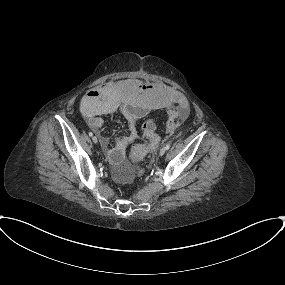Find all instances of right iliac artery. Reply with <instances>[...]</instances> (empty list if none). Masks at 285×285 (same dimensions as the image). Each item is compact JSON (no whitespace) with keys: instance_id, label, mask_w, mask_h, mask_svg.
Wrapping results in <instances>:
<instances>
[{"instance_id":"1","label":"right iliac artery","mask_w":285,"mask_h":285,"mask_svg":"<svg viewBox=\"0 0 285 285\" xmlns=\"http://www.w3.org/2000/svg\"><path fill=\"white\" fill-rule=\"evenodd\" d=\"M89 136H90V137H92V136H93V133H92V132H90V133H89Z\"/></svg>"}]
</instances>
